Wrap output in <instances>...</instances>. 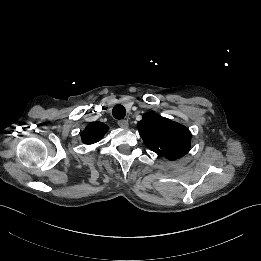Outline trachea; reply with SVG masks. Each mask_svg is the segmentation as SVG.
Returning a JSON list of instances; mask_svg holds the SVG:
<instances>
[{"instance_id": "3493384b", "label": "trachea", "mask_w": 261, "mask_h": 261, "mask_svg": "<svg viewBox=\"0 0 261 261\" xmlns=\"http://www.w3.org/2000/svg\"><path fill=\"white\" fill-rule=\"evenodd\" d=\"M112 113H113L114 118L123 119L126 115V110H125L124 106L117 104L113 107Z\"/></svg>"}]
</instances>
